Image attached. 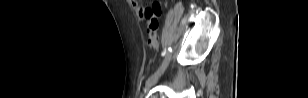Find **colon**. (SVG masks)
<instances>
[{
	"label": "colon",
	"instance_id": "colon-1",
	"mask_svg": "<svg viewBox=\"0 0 308 98\" xmlns=\"http://www.w3.org/2000/svg\"><path fill=\"white\" fill-rule=\"evenodd\" d=\"M161 13V5L159 2H153L150 6L139 10L140 16H146L151 24L148 25V41L153 48L158 47L157 39V18Z\"/></svg>",
	"mask_w": 308,
	"mask_h": 98
}]
</instances>
